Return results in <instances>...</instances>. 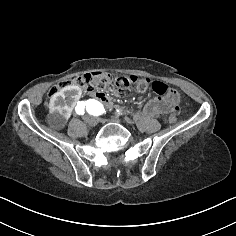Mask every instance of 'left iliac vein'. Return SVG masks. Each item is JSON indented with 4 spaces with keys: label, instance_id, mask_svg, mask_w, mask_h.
<instances>
[{
    "label": "left iliac vein",
    "instance_id": "1",
    "mask_svg": "<svg viewBox=\"0 0 236 236\" xmlns=\"http://www.w3.org/2000/svg\"><path fill=\"white\" fill-rule=\"evenodd\" d=\"M106 121H108V122H113V121L117 122L118 120L117 119H115V120H113V119L106 120L104 118H98V123L106 124Z\"/></svg>",
    "mask_w": 236,
    "mask_h": 236
}]
</instances>
